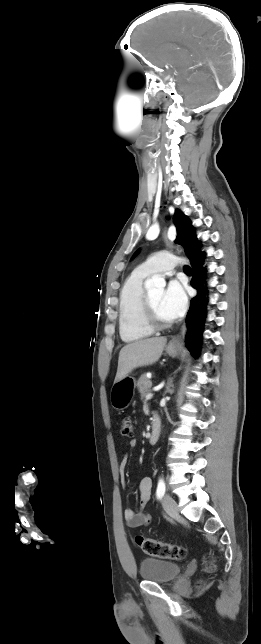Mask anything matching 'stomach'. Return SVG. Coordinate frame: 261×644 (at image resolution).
I'll return each instance as SVG.
<instances>
[{"label": "stomach", "mask_w": 261, "mask_h": 644, "mask_svg": "<svg viewBox=\"0 0 261 644\" xmlns=\"http://www.w3.org/2000/svg\"><path fill=\"white\" fill-rule=\"evenodd\" d=\"M166 353L175 358H185L187 352L180 344L170 343L165 348ZM136 388V380L131 376H126L122 380L113 384L110 392V402L114 409L123 410L127 408L133 400Z\"/></svg>", "instance_id": "stomach-1"}]
</instances>
